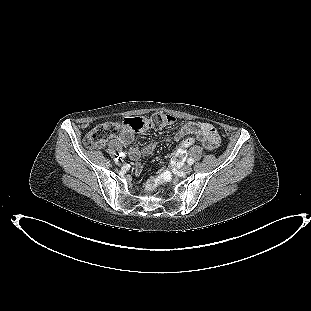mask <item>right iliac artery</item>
I'll list each match as a JSON object with an SVG mask.
<instances>
[{
    "instance_id": "82829eb1",
    "label": "right iliac artery",
    "mask_w": 311,
    "mask_h": 311,
    "mask_svg": "<svg viewBox=\"0 0 311 311\" xmlns=\"http://www.w3.org/2000/svg\"><path fill=\"white\" fill-rule=\"evenodd\" d=\"M119 156L122 157V158H125V153L121 152V153H119ZM117 160H118V159H117ZM117 160H116V161H117Z\"/></svg>"
}]
</instances>
